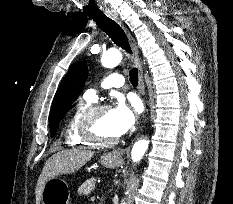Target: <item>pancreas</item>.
<instances>
[{"mask_svg":"<svg viewBox=\"0 0 233 204\" xmlns=\"http://www.w3.org/2000/svg\"><path fill=\"white\" fill-rule=\"evenodd\" d=\"M96 183V178L92 177L88 180H86L79 188H78V194L79 195H88L91 193V191L94 190Z\"/></svg>","mask_w":233,"mask_h":204,"instance_id":"1","label":"pancreas"}]
</instances>
